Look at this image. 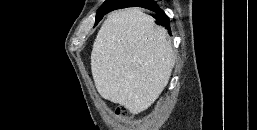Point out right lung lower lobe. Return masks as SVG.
I'll use <instances>...</instances> for the list:
<instances>
[{"instance_id":"right-lung-lower-lobe-1","label":"right lung lower lobe","mask_w":257,"mask_h":130,"mask_svg":"<svg viewBox=\"0 0 257 130\" xmlns=\"http://www.w3.org/2000/svg\"><path fill=\"white\" fill-rule=\"evenodd\" d=\"M125 6H122L120 8H126V7H143L146 9H149L153 12H155V15L153 17L156 18V23L162 26L167 27L170 29V21L167 15L157 6L156 2L151 0H140V1H125Z\"/></svg>"}]
</instances>
